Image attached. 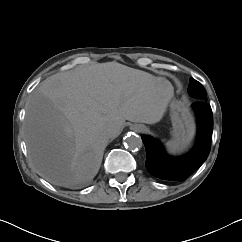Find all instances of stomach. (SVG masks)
Here are the masks:
<instances>
[{
  "mask_svg": "<svg viewBox=\"0 0 242 242\" xmlns=\"http://www.w3.org/2000/svg\"><path fill=\"white\" fill-rule=\"evenodd\" d=\"M170 115L173 128V140L168 143L172 152L184 151L194 134V123L188 109L180 102L173 100L170 104Z\"/></svg>",
  "mask_w": 242,
  "mask_h": 242,
  "instance_id": "0dacf381",
  "label": "stomach"
}]
</instances>
